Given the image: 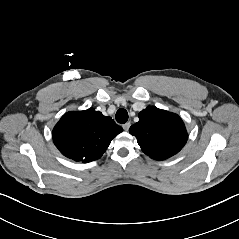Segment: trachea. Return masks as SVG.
Instances as JSON below:
<instances>
[{
  "label": "trachea",
  "mask_w": 239,
  "mask_h": 239,
  "mask_svg": "<svg viewBox=\"0 0 239 239\" xmlns=\"http://www.w3.org/2000/svg\"><path fill=\"white\" fill-rule=\"evenodd\" d=\"M115 118H116V121L120 124H124L127 122L128 120V112L123 109V108H120L117 112H116V115H115Z\"/></svg>",
  "instance_id": "obj_1"
}]
</instances>
